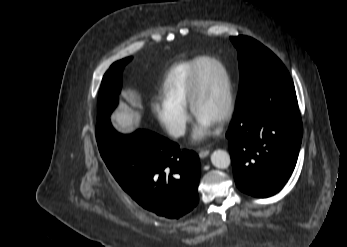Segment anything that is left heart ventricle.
<instances>
[{"mask_svg":"<svg viewBox=\"0 0 347 247\" xmlns=\"http://www.w3.org/2000/svg\"><path fill=\"white\" fill-rule=\"evenodd\" d=\"M200 92L197 116L216 122L226 99L225 81L221 70L210 62H204L199 71Z\"/></svg>","mask_w":347,"mask_h":247,"instance_id":"obj_1","label":"left heart ventricle"}]
</instances>
